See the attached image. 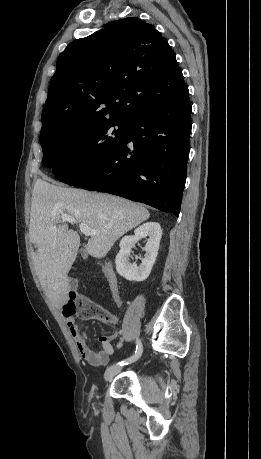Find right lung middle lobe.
<instances>
[{
	"instance_id": "right-lung-middle-lobe-1",
	"label": "right lung middle lobe",
	"mask_w": 261,
	"mask_h": 459,
	"mask_svg": "<svg viewBox=\"0 0 261 459\" xmlns=\"http://www.w3.org/2000/svg\"><path fill=\"white\" fill-rule=\"evenodd\" d=\"M130 121L107 120L87 127H61L41 133L43 164L70 184L110 158L126 140ZM116 126V128H114Z\"/></svg>"
}]
</instances>
